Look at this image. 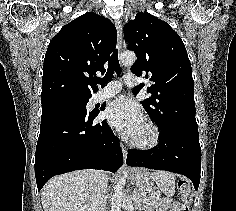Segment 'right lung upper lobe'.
Listing matches in <instances>:
<instances>
[{
	"label": "right lung upper lobe",
	"mask_w": 236,
	"mask_h": 211,
	"mask_svg": "<svg viewBox=\"0 0 236 211\" xmlns=\"http://www.w3.org/2000/svg\"><path fill=\"white\" fill-rule=\"evenodd\" d=\"M116 41L115 26L93 12L65 25L45 54L41 103L60 98L89 99L96 72H105L103 65Z\"/></svg>",
	"instance_id": "right-lung-upper-lobe-1"
}]
</instances>
